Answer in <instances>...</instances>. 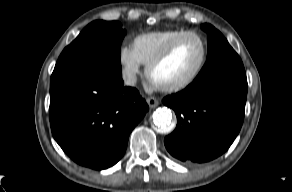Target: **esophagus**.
Wrapping results in <instances>:
<instances>
[{
    "label": "esophagus",
    "mask_w": 292,
    "mask_h": 192,
    "mask_svg": "<svg viewBox=\"0 0 292 192\" xmlns=\"http://www.w3.org/2000/svg\"><path fill=\"white\" fill-rule=\"evenodd\" d=\"M146 101L150 108H155L159 105V101L155 97H148Z\"/></svg>",
    "instance_id": "34e87169"
}]
</instances>
